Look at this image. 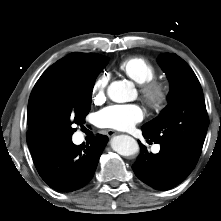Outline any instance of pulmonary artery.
Listing matches in <instances>:
<instances>
[{
  "mask_svg": "<svg viewBox=\"0 0 221 221\" xmlns=\"http://www.w3.org/2000/svg\"><path fill=\"white\" fill-rule=\"evenodd\" d=\"M159 151V146H155L154 152L157 153Z\"/></svg>",
  "mask_w": 221,
  "mask_h": 221,
  "instance_id": "pulmonary-artery-1",
  "label": "pulmonary artery"
}]
</instances>
